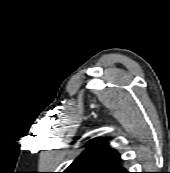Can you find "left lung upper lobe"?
<instances>
[{
	"label": "left lung upper lobe",
	"instance_id": "5c2ea615",
	"mask_svg": "<svg viewBox=\"0 0 170 173\" xmlns=\"http://www.w3.org/2000/svg\"><path fill=\"white\" fill-rule=\"evenodd\" d=\"M87 149L63 173H123L120 154L104 139L88 142Z\"/></svg>",
	"mask_w": 170,
	"mask_h": 173
}]
</instances>
